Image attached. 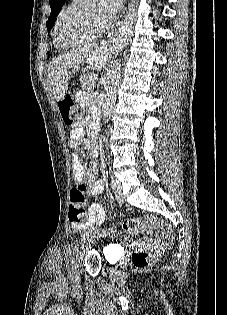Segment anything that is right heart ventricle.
I'll return each instance as SVG.
<instances>
[{
  "instance_id": "obj_1",
  "label": "right heart ventricle",
  "mask_w": 227,
  "mask_h": 315,
  "mask_svg": "<svg viewBox=\"0 0 227 315\" xmlns=\"http://www.w3.org/2000/svg\"><path fill=\"white\" fill-rule=\"evenodd\" d=\"M74 2V0H71L64 8L63 10L60 12L59 17L64 13V11ZM55 46L58 47L55 43ZM60 48V47H58Z\"/></svg>"
}]
</instances>
